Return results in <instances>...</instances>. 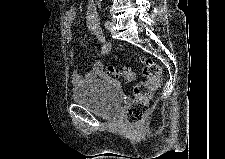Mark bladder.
Masks as SVG:
<instances>
[{
    "mask_svg": "<svg viewBox=\"0 0 225 159\" xmlns=\"http://www.w3.org/2000/svg\"><path fill=\"white\" fill-rule=\"evenodd\" d=\"M73 101L105 120L118 117L122 98L118 90L103 80H93L74 88Z\"/></svg>",
    "mask_w": 225,
    "mask_h": 159,
    "instance_id": "obj_1",
    "label": "bladder"
}]
</instances>
